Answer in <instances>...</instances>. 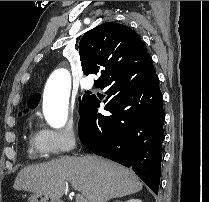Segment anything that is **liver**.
<instances>
[{
  "instance_id": "obj_1",
  "label": "liver",
  "mask_w": 209,
  "mask_h": 202,
  "mask_svg": "<svg viewBox=\"0 0 209 202\" xmlns=\"http://www.w3.org/2000/svg\"><path fill=\"white\" fill-rule=\"evenodd\" d=\"M67 181L86 202H107L142 190V183L132 170L89 154L24 167L13 187L59 199L65 193Z\"/></svg>"
}]
</instances>
